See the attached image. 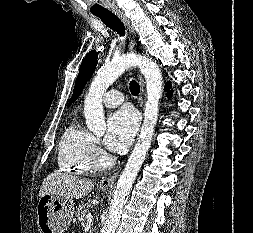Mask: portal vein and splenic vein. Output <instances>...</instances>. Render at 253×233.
Segmentation results:
<instances>
[{
  "label": "portal vein and splenic vein",
  "mask_w": 253,
  "mask_h": 233,
  "mask_svg": "<svg viewBox=\"0 0 253 233\" xmlns=\"http://www.w3.org/2000/svg\"><path fill=\"white\" fill-rule=\"evenodd\" d=\"M86 218H87V224H91L93 222V215L91 213H88Z\"/></svg>",
  "instance_id": "obj_1"
}]
</instances>
